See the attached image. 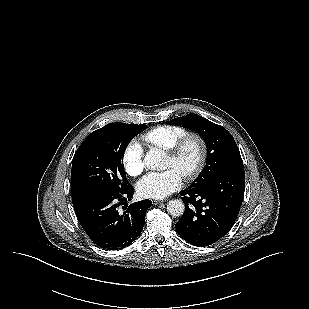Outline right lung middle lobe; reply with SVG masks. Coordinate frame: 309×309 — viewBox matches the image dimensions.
<instances>
[{
  "label": "right lung middle lobe",
  "mask_w": 309,
  "mask_h": 309,
  "mask_svg": "<svg viewBox=\"0 0 309 309\" xmlns=\"http://www.w3.org/2000/svg\"><path fill=\"white\" fill-rule=\"evenodd\" d=\"M147 125L111 123L92 132L75 153L71 190L122 192L129 187L123 156L129 142Z\"/></svg>",
  "instance_id": "obj_1"
}]
</instances>
